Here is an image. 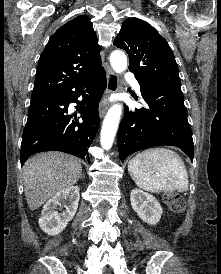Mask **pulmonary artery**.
<instances>
[{
  "label": "pulmonary artery",
  "instance_id": "e3ab8cb5",
  "mask_svg": "<svg viewBox=\"0 0 221 274\" xmlns=\"http://www.w3.org/2000/svg\"><path fill=\"white\" fill-rule=\"evenodd\" d=\"M126 79L131 82V84L133 85L134 89L137 92H140V85H139L138 81L134 78V76L131 73H127L126 74Z\"/></svg>",
  "mask_w": 221,
  "mask_h": 274
}]
</instances>
